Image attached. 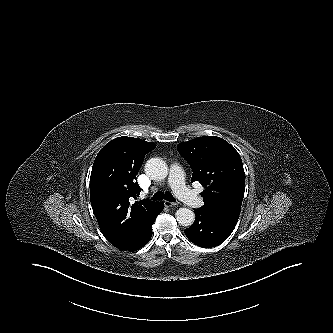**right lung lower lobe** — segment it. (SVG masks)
<instances>
[{
    "label": "right lung lower lobe",
    "instance_id": "right-lung-lower-lobe-1",
    "mask_svg": "<svg viewBox=\"0 0 333 333\" xmlns=\"http://www.w3.org/2000/svg\"><path fill=\"white\" fill-rule=\"evenodd\" d=\"M163 208H164V204L161 203L159 213L163 210ZM153 223H154V221L149 224V226L146 228V230L144 231L143 235L139 238L137 243L133 247L128 249V251H135V250L143 247L144 245H146L149 242V240L151 239V236H152V225H153Z\"/></svg>",
    "mask_w": 333,
    "mask_h": 333
}]
</instances>
